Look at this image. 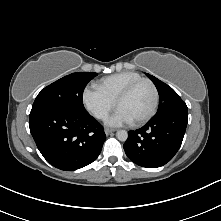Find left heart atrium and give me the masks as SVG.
Masks as SVG:
<instances>
[{
    "label": "left heart atrium",
    "instance_id": "left-heart-atrium-1",
    "mask_svg": "<svg viewBox=\"0 0 221 221\" xmlns=\"http://www.w3.org/2000/svg\"><path fill=\"white\" fill-rule=\"evenodd\" d=\"M130 118L121 109H117L116 112L107 120V123L111 126H122L130 123Z\"/></svg>",
    "mask_w": 221,
    "mask_h": 221
}]
</instances>
